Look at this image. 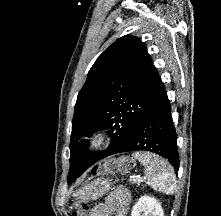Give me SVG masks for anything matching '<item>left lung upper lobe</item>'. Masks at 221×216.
<instances>
[{
    "label": "left lung upper lobe",
    "mask_w": 221,
    "mask_h": 216,
    "mask_svg": "<svg viewBox=\"0 0 221 216\" xmlns=\"http://www.w3.org/2000/svg\"><path fill=\"white\" fill-rule=\"evenodd\" d=\"M157 76L145 44L134 36L119 38L97 58L75 105L68 183L83 168L89 145L83 137L108 129L114 150L130 141L153 102Z\"/></svg>",
    "instance_id": "obj_1"
}]
</instances>
